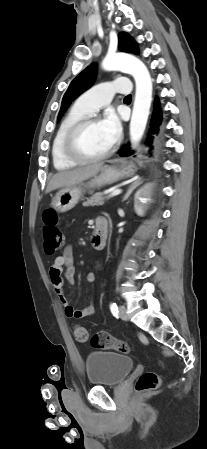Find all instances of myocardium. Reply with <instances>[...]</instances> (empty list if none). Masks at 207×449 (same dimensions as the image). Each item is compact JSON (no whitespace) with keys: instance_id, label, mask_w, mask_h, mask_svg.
<instances>
[{"instance_id":"obj_1","label":"myocardium","mask_w":207,"mask_h":449,"mask_svg":"<svg viewBox=\"0 0 207 449\" xmlns=\"http://www.w3.org/2000/svg\"><path fill=\"white\" fill-rule=\"evenodd\" d=\"M99 123V120L93 116H86L77 122H75L66 132L62 149L64 155L71 161L76 163H92L98 162L107 158L114 150V144H112L106 151L98 155H87L83 153L77 145V138L80 132L87 126Z\"/></svg>"}]
</instances>
